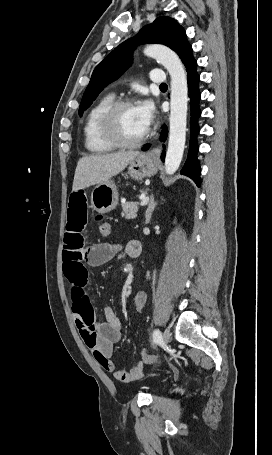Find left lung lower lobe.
I'll return each instance as SVG.
<instances>
[{"instance_id":"obj_1","label":"left lung lower lobe","mask_w":272,"mask_h":455,"mask_svg":"<svg viewBox=\"0 0 272 455\" xmlns=\"http://www.w3.org/2000/svg\"><path fill=\"white\" fill-rule=\"evenodd\" d=\"M187 71V83L189 88V97H190V107H191V121H190V147L188 152L187 160L184 164V167L181 170V174L186 175L194 180L197 186H200V166L197 161V152L198 146L196 141V136L199 133V128L197 126V119L200 116L199 110V100L200 92L198 90L199 76L196 72L197 62L194 59H188L185 63ZM167 127L163 126L161 138L166 139L167 136ZM150 145H147L142 148V150H148ZM165 152L162 153L161 159L164 161Z\"/></svg>"}]
</instances>
